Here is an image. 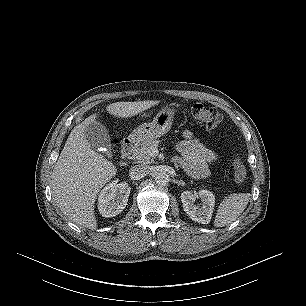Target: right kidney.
I'll list each match as a JSON object with an SVG mask.
<instances>
[{
	"mask_svg": "<svg viewBox=\"0 0 306 306\" xmlns=\"http://www.w3.org/2000/svg\"><path fill=\"white\" fill-rule=\"evenodd\" d=\"M114 180L107 184L98 197V210L103 217L118 215L126 207L131 188L126 182Z\"/></svg>",
	"mask_w": 306,
	"mask_h": 306,
	"instance_id": "right-kidney-1",
	"label": "right kidney"
}]
</instances>
